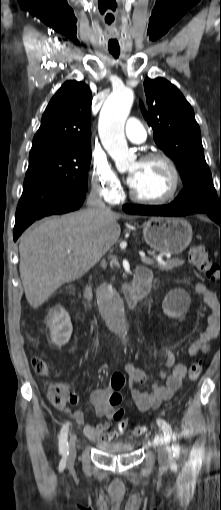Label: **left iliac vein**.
I'll use <instances>...</instances> for the list:
<instances>
[{
    "mask_svg": "<svg viewBox=\"0 0 221 510\" xmlns=\"http://www.w3.org/2000/svg\"><path fill=\"white\" fill-rule=\"evenodd\" d=\"M158 459L162 466H167L169 463L167 443L162 441L158 447Z\"/></svg>",
    "mask_w": 221,
    "mask_h": 510,
    "instance_id": "4c4485c4",
    "label": "left iliac vein"
}]
</instances>
